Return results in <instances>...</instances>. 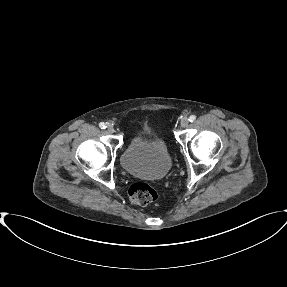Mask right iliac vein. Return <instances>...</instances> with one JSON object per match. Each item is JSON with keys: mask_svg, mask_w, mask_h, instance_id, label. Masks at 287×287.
Instances as JSON below:
<instances>
[{"mask_svg": "<svg viewBox=\"0 0 287 287\" xmlns=\"http://www.w3.org/2000/svg\"><path fill=\"white\" fill-rule=\"evenodd\" d=\"M106 130H107L108 133H114V131H115L114 127L112 125H108Z\"/></svg>", "mask_w": 287, "mask_h": 287, "instance_id": "obj_1", "label": "right iliac vein"}]
</instances>
